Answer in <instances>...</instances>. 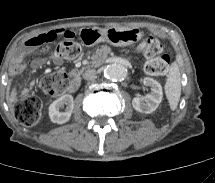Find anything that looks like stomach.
<instances>
[{
	"instance_id": "stomach-1",
	"label": "stomach",
	"mask_w": 215,
	"mask_h": 183,
	"mask_svg": "<svg viewBox=\"0 0 215 183\" xmlns=\"http://www.w3.org/2000/svg\"><path fill=\"white\" fill-rule=\"evenodd\" d=\"M97 33L94 44L99 42H107L113 46H128L138 42L143 33L136 27H109L104 29H93Z\"/></svg>"
}]
</instances>
